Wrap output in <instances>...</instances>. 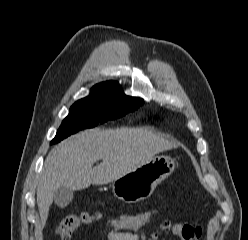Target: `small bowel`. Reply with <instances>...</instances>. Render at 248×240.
I'll list each match as a JSON object with an SVG mask.
<instances>
[{
  "label": "small bowel",
  "instance_id": "c3829d8e",
  "mask_svg": "<svg viewBox=\"0 0 248 240\" xmlns=\"http://www.w3.org/2000/svg\"><path fill=\"white\" fill-rule=\"evenodd\" d=\"M171 229L178 240H199L202 236V228L194 223L175 222L163 220L151 233L117 232L109 231L105 234L107 240H158L160 234Z\"/></svg>",
  "mask_w": 248,
  "mask_h": 240
}]
</instances>
